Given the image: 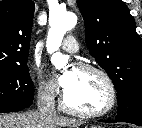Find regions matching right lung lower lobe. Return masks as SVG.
<instances>
[{"mask_svg":"<svg viewBox=\"0 0 142 128\" xmlns=\"http://www.w3.org/2000/svg\"><path fill=\"white\" fill-rule=\"evenodd\" d=\"M25 108L27 107L19 106V105H0V113L16 112V111H20Z\"/></svg>","mask_w":142,"mask_h":128,"instance_id":"obj_1","label":"right lung lower lobe"}]
</instances>
